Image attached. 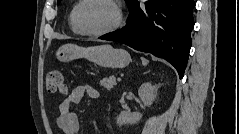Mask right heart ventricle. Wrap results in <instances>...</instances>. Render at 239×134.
Returning <instances> with one entry per match:
<instances>
[{"label": "right heart ventricle", "instance_id": "right-heart-ventricle-1", "mask_svg": "<svg viewBox=\"0 0 239 134\" xmlns=\"http://www.w3.org/2000/svg\"><path fill=\"white\" fill-rule=\"evenodd\" d=\"M80 1L76 2L72 9H71V12H70V15H69V24H70V27H71V30L75 33V34H80V32L78 31V29L76 28L75 24H74V13H75V10L78 6Z\"/></svg>", "mask_w": 239, "mask_h": 134}]
</instances>
